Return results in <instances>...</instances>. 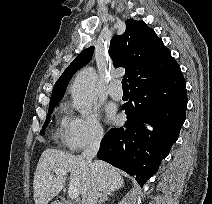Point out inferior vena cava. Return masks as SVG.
Instances as JSON below:
<instances>
[{"instance_id": "602c4592", "label": "inferior vena cava", "mask_w": 212, "mask_h": 204, "mask_svg": "<svg viewBox=\"0 0 212 204\" xmlns=\"http://www.w3.org/2000/svg\"><path fill=\"white\" fill-rule=\"evenodd\" d=\"M102 138L103 132H96L82 153V157L89 165L92 164V159L96 156L100 148ZM99 196V189L94 184H91L86 193L82 196V204H97Z\"/></svg>"}]
</instances>
